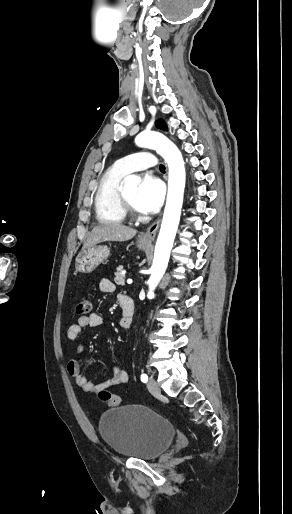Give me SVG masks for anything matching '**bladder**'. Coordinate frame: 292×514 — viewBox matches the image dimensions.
<instances>
[{"label":"bladder","instance_id":"bladder-1","mask_svg":"<svg viewBox=\"0 0 292 514\" xmlns=\"http://www.w3.org/2000/svg\"><path fill=\"white\" fill-rule=\"evenodd\" d=\"M98 432L117 455L152 460L173 442L176 431L163 416L141 405H125L104 412Z\"/></svg>","mask_w":292,"mask_h":514}]
</instances>
